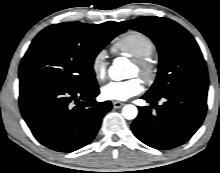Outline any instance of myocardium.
<instances>
[{
    "label": "myocardium",
    "mask_w": 220,
    "mask_h": 173,
    "mask_svg": "<svg viewBox=\"0 0 220 173\" xmlns=\"http://www.w3.org/2000/svg\"><path fill=\"white\" fill-rule=\"evenodd\" d=\"M133 65L137 69V75L140 76L146 83H152L156 76V66L149 59H134Z\"/></svg>",
    "instance_id": "myocardium-1"
}]
</instances>
